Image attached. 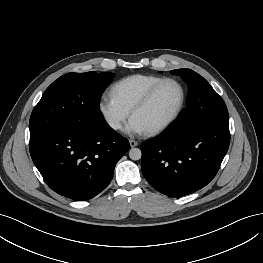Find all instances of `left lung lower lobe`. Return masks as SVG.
<instances>
[{
    "label": "left lung lower lobe",
    "mask_w": 263,
    "mask_h": 263,
    "mask_svg": "<svg viewBox=\"0 0 263 263\" xmlns=\"http://www.w3.org/2000/svg\"><path fill=\"white\" fill-rule=\"evenodd\" d=\"M229 143V120L208 122L192 131H179L170 125L143 142V175L167 196L193 193L215 177Z\"/></svg>",
    "instance_id": "left-lung-lower-lobe-1"
}]
</instances>
